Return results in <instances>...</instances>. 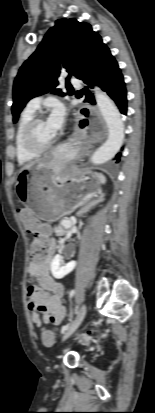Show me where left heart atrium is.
<instances>
[{
	"instance_id": "obj_1",
	"label": "left heart atrium",
	"mask_w": 155,
	"mask_h": 413,
	"mask_svg": "<svg viewBox=\"0 0 155 413\" xmlns=\"http://www.w3.org/2000/svg\"><path fill=\"white\" fill-rule=\"evenodd\" d=\"M65 117L66 113L64 107L59 103L54 104L46 121L49 130L54 136L63 128Z\"/></svg>"
}]
</instances>
